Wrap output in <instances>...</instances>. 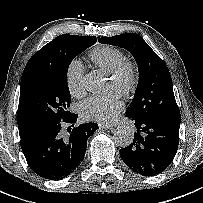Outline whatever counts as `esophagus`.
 <instances>
[{
    "label": "esophagus",
    "mask_w": 203,
    "mask_h": 203,
    "mask_svg": "<svg viewBox=\"0 0 203 203\" xmlns=\"http://www.w3.org/2000/svg\"><path fill=\"white\" fill-rule=\"evenodd\" d=\"M98 126L100 129H112L113 128V125L105 124V123H99Z\"/></svg>",
    "instance_id": "obj_1"
}]
</instances>
